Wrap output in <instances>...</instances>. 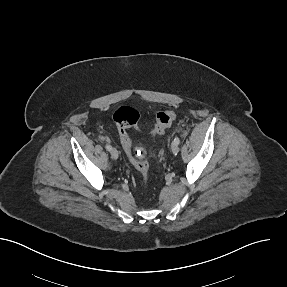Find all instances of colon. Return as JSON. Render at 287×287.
I'll return each mask as SVG.
<instances>
[{
	"label": "colon",
	"instance_id": "1",
	"mask_svg": "<svg viewBox=\"0 0 287 287\" xmlns=\"http://www.w3.org/2000/svg\"><path fill=\"white\" fill-rule=\"evenodd\" d=\"M175 119L176 113L173 110H165L157 113L155 123L150 129L149 134L152 136L163 134ZM113 120L127 155L136 170L141 174L144 182H146L149 173V164L143 157L135 153L132 141L128 135L129 129H138L139 127V112L130 106H121L114 112Z\"/></svg>",
	"mask_w": 287,
	"mask_h": 287
}]
</instances>
